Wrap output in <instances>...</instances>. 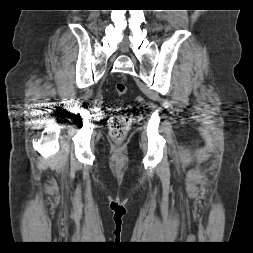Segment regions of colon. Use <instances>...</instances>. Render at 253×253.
Segmentation results:
<instances>
[{"mask_svg":"<svg viewBox=\"0 0 253 253\" xmlns=\"http://www.w3.org/2000/svg\"><path fill=\"white\" fill-rule=\"evenodd\" d=\"M116 93L119 96H123L127 93V86L124 82H116L115 84ZM132 123V115L123 111L114 115L109 124L110 136L114 141H122L126 137L128 130Z\"/></svg>","mask_w":253,"mask_h":253,"instance_id":"1","label":"colon"}]
</instances>
